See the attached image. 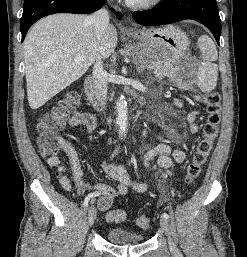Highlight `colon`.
I'll return each instance as SVG.
<instances>
[{
    "mask_svg": "<svg viewBox=\"0 0 247 257\" xmlns=\"http://www.w3.org/2000/svg\"><path fill=\"white\" fill-rule=\"evenodd\" d=\"M198 100L205 105L206 121L203 127V136L199 141L190 163L187 166L185 182L191 184L200 175L202 167L206 163L218 133L221 120L220 95L216 92L198 95ZM80 94L77 91H69L58 100L52 109L46 112L37 125L38 147L43 157L54 156L60 149L56 133L62 128L65 120L80 104ZM108 222L121 223L126 220L127 214L123 210H112L105 216ZM137 224L141 228H148L150 218L142 214L137 218Z\"/></svg>",
    "mask_w": 247,
    "mask_h": 257,
    "instance_id": "5ec220e1",
    "label": "colon"
}]
</instances>
